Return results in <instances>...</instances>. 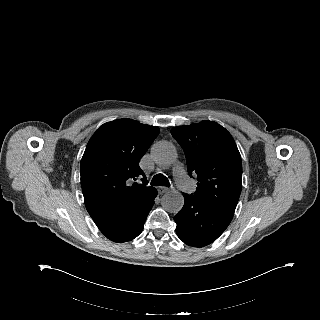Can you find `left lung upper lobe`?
Wrapping results in <instances>:
<instances>
[{
  "mask_svg": "<svg viewBox=\"0 0 320 320\" xmlns=\"http://www.w3.org/2000/svg\"><path fill=\"white\" fill-rule=\"evenodd\" d=\"M172 136L183 148L188 173L197 174L191 194L233 216L242 189V163L230 133L216 122L176 127Z\"/></svg>",
  "mask_w": 320,
  "mask_h": 320,
  "instance_id": "5c2ea615",
  "label": "left lung upper lobe"
}]
</instances>
